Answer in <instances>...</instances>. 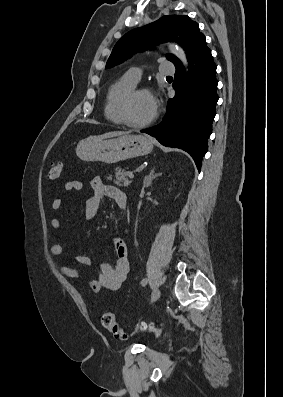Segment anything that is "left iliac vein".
Returning <instances> with one entry per match:
<instances>
[{
	"label": "left iliac vein",
	"mask_w": 283,
	"mask_h": 397,
	"mask_svg": "<svg viewBox=\"0 0 283 397\" xmlns=\"http://www.w3.org/2000/svg\"><path fill=\"white\" fill-rule=\"evenodd\" d=\"M161 291L159 289H155L151 296V302H155L160 298Z\"/></svg>",
	"instance_id": "1"
}]
</instances>
